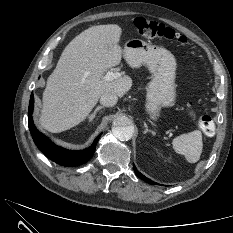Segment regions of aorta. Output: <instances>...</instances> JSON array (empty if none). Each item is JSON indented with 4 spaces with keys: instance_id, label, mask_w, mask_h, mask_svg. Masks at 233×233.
Listing matches in <instances>:
<instances>
[{
    "instance_id": "aorta-1",
    "label": "aorta",
    "mask_w": 233,
    "mask_h": 233,
    "mask_svg": "<svg viewBox=\"0 0 233 233\" xmlns=\"http://www.w3.org/2000/svg\"><path fill=\"white\" fill-rule=\"evenodd\" d=\"M112 133L117 139L128 141L134 134V127L128 117L118 116L113 121Z\"/></svg>"
}]
</instances>
